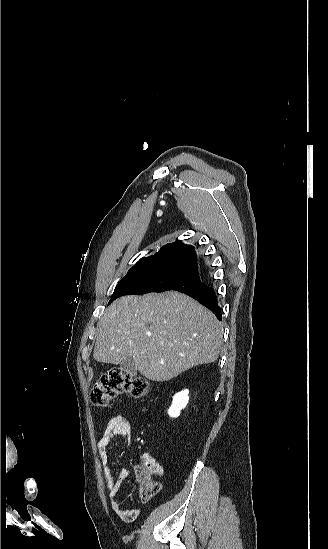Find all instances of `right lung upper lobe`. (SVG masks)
Segmentation results:
<instances>
[{"instance_id":"1","label":"right lung upper lobe","mask_w":328,"mask_h":549,"mask_svg":"<svg viewBox=\"0 0 328 549\" xmlns=\"http://www.w3.org/2000/svg\"><path fill=\"white\" fill-rule=\"evenodd\" d=\"M131 270H172L198 275L197 256L193 246L178 240L152 256L141 258Z\"/></svg>"}]
</instances>
